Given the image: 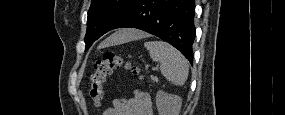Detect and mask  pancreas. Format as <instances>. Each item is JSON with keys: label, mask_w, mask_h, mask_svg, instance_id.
Listing matches in <instances>:
<instances>
[{"label": "pancreas", "mask_w": 285, "mask_h": 115, "mask_svg": "<svg viewBox=\"0 0 285 115\" xmlns=\"http://www.w3.org/2000/svg\"><path fill=\"white\" fill-rule=\"evenodd\" d=\"M151 79H152L153 82H157L158 81V78L154 77V76H152Z\"/></svg>", "instance_id": "1"}]
</instances>
